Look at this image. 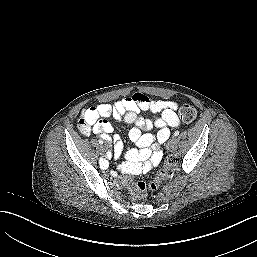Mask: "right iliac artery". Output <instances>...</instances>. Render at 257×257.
Returning a JSON list of instances; mask_svg holds the SVG:
<instances>
[{
    "instance_id": "obj_1",
    "label": "right iliac artery",
    "mask_w": 257,
    "mask_h": 257,
    "mask_svg": "<svg viewBox=\"0 0 257 257\" xmlns=\"http://www.w3.org/2000/svg\"><path fill=\"white\" fill-rule=\"evenodd\" d=\"M99 144H103V141L100 139L99 140ZM100 165H101V168H105L107 166V161L106 160H100Z\"/></svg>"
}]
</instances>
